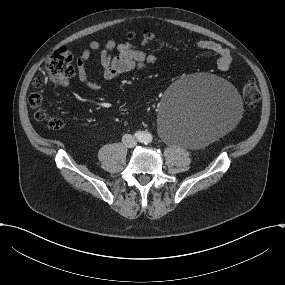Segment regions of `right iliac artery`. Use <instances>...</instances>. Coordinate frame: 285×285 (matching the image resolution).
Wrapping results in <instances>:
<instances>
[{"mask_svg": "<svg viewBox=\"0 0 285 285\" xmlns=\"http://www.w3.org/2000/svg\"><path fill=\"white\" fill-rule=\"evenodd\" d=\"M134 138L140 142H142L144 140L143 138V133L142 132H136L134 133Z\"/></svg>", "mask_w": 285, "mask_h": 285, "instance_id": "82829eb1", "label": "right iliac artery"}]
</instances>
